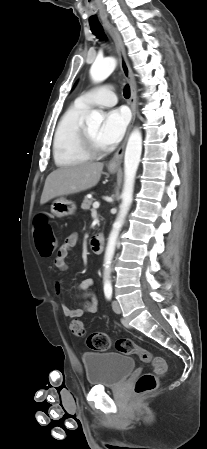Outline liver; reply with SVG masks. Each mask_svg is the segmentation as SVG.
Segmentation results:
<instances>
[{"instance_id":"1","label":"liver","mask_w":207,"mask_h":449,"mask_svg":"<svg viewBox=\"0 0 207 449\" xmlns=\"http://www.w3.org/2000/svg\"><path fill=\"white\" fill-rule=\"evenodd\" d=\"M103 166V163H82L56 169L46 178L40 204L94 187L100 180Z\"/></svg>"}]
</instances>
